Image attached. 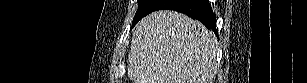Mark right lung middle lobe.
I'll return each instance as SVG.
<instances>
[{"label":"right lung middle lobe","instance_id":"obj_1","mask_svg":"<svg viewBox=\"0 0 307 83\" xmlns=\"http://www.w3.org/2000/svg\"><path fill=\"white\" fill-rule=\"evenodd\" d=\"M154 0H138V10L135 14L132 27L144 16L149 13L151 5L153 4Z\"/></svg>","mask_w":307,"mask_h":83}]
</instances>
